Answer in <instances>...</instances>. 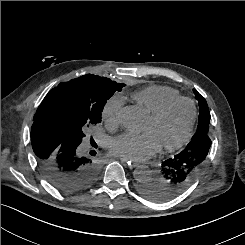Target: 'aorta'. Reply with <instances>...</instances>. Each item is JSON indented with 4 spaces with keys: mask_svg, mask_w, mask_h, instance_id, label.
Here are the masks:
<instances>
[{
    "mask_svg": "<svg viewBox=\"0 0 245 245\" xmlns=\"http://www.w3.org/2000/svg\"><path fill=\"white\" fill-rule=\"evenodd\" d=\"M122 126L130 133H138L142 130L145 122L144 114L137 106H126L120 113ZM154 173L147 166H139L134 171V177L140 183L152 179Z\"/></svg>",
    "mask_w": 245,
    "mask_h": 245,
    "instance_id": "obj_1",
    "label": "aorta"
}]
</instances>
